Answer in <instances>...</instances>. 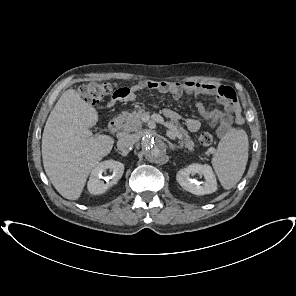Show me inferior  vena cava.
Listing matches in <instances>:
<instances>
[{
  "label": "inferior vena cava",
  "mask_w": 296,
  "mask_h": 296,
  "mask_svg": "<svg viewBox=\"0 0 296 296\" xmlns=\"http://www.w3.org/2000/svg\"><path fill=\"white\" fill-rule=\"evenodd\" d=\"M136 139L133 135H125L121 137L117 142V147L119 149H124L132 146L135 143Z\"/></svg>",
  "instance_id": "602c4592"
}]
</instances>
